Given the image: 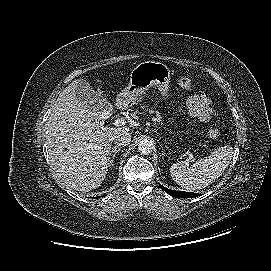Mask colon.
I'll list each match as a JSON object with an SVG mask.
<instances>
[{
  "mask_svg": "<svg viewBox=\"0 0 271 271\" xmlns=\"http://www.w3.org/2000/svg\"><path fill=\"white\" fill-rule=\"evenodd\" d=\"M178 84L181 88L189 90L193 87V82L188 77H181L178 80ZM220 135V129L218 127H213L208 131V136L210 138H217Z\"/></svg>",
  "mask_w": 271,
  "mask_h": 271,
  "instance_id": "1",
  "label": "colon"
}]
</instances>
